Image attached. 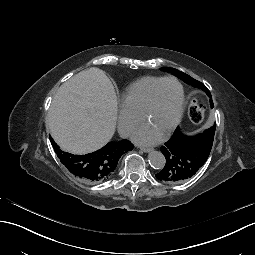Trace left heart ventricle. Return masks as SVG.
Masks as SVG:
<instances>
[{
	"label": "left heart ventricle",
	"instance_id": "1",
	"mask_svg": "<svg viewBox=\"0 0 255 255\" xmlns=\"http://www.w3.org/2000/svg\"><path fill=\"white\" fill-rule=\"evenodd\" d=\"M180 103V90L176 83H164L157 92L154 107L142 122L143 127L161 137L174 122Z\"/></svg>",
	"mask_w": 255,
	"mask_h": 255
}]
</instances>
